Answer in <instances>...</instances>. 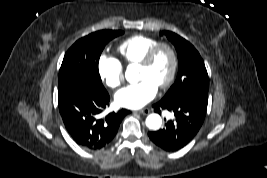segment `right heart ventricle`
<instances>
[{"label":"right heart ventricle","mask_w":267,"mask_h":178,"mask_svg":"<svg viewBox=\"0 0 267 178\" xmlns=\"http://www.w3.org/2000/svg\"><path fill=\"white\" fill-rule=\"evenodd\" d=\"M157 43H159L157 38L139 34L122 41L117 51L127 64H138Z\"/></svg>","instance_id":"right-heart-ventricle-1"}]
</instances>
